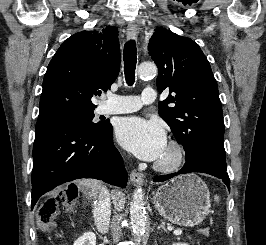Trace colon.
Here are the masks:
<instances>
[{
  "label": "colon",
  "mask_w": 266,
  "mask_h": 245,
  "mask_svg": "<svg viewBox=\"0 0 266 245\" xmlns=\"http://www.w3.org/2000/svg\"><path fill=\"white\" fill-rule=\"evenodd\" d=\"M65 199L62 195H57L53 198L45 200L38 209V227L44 232H50L55 224V218L58 210L64 203ZM199 234L207 237L210 234L209 227H202L199 229Z\"/></svg>",
  "instance_id": "obj_1"
}]
</instances>
